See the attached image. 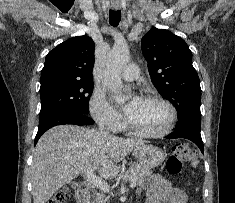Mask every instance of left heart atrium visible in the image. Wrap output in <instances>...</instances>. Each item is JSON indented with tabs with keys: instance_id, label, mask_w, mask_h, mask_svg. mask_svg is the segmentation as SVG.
Listing matches in <instances>:
<instances>
[{
	"instance_id": "obj_1",
	"label": "left heart atrium",
	"mask_w": 235,
	"mask_h": 203,
	"mask_svg": "<svg viewBox=\"0 0 235 203\" xmlns=\"http://www.w3.org/2000/svg\"><path fill=\"white\" fill-rule=\"evenodd\" d=\"M141 98L135 97L128 105L125 106L124 110L127 116L131 115L132 112L135 110L137 105L141 102Z\"/></svg>"
}]
</instances>
